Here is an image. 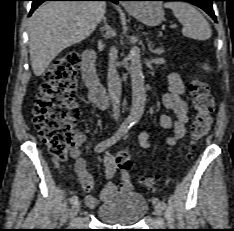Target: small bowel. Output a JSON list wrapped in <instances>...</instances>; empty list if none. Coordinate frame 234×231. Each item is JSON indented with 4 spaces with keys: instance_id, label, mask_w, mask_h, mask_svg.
<instances>
[{
    "instance_id": "obj_1",
    "label": "small bowel",
    "mask_w": 234,
    "mask_h": 231,
    "mask_svg": "<svg viewBox=\"0 0 234 231\" xmlns=\"http://www.w3.org/2000/svg\"><path fill=\"white\" fill-rule=\"evenodd\" d=\"M169 91L162 97L163 105L170 113L164 114L160 118V126L163 129L173 128L174 132L171 137L167 139V143L170 145L184 137L186 133V124L188 122V106L182 99V95L185 91L184 84L180 76L172 72L168 75ZM149 134L143 131L140 136V144L144 148L150 147ZM85 140V135L76 131L75 133V146L71 149V157L75 160V170L79 178V186L83 194L86 195V203L89 207H97L101 202H105L110 199L119 189L129 190L131 188V182L128 174L121 175L122 183L120 187L114 182H108L102 189L99 196L90 195V192L94 188V179L86 168L85 161L80 157V147ZM114 144H111L105 149L103 160L105 166V176L107 179L114 178L117 165L115 162V156L110 151V148Z\"/></svg>"
}]
</instances>
